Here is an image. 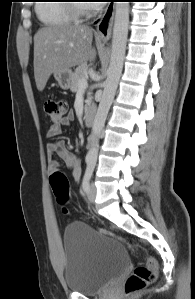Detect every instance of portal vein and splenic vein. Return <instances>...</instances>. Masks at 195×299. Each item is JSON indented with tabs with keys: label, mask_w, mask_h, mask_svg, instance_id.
Instances as JSON below:
<instances>
[{
	"label": "portal vein and splenic vein",
	"mask_w": 195,
	"mask_h": 299,
	"mask_svg": "<svg viewBox=\"0 0 195 299\" xmlns=\"http://www.w3.org/2000/svg\"><path fill=\"white\" fill-rule=\"evenodd\" d=\"M88 77L85 76L84 78H82L81 80H79V88L80 89H85L88 86V81H87Z\"/></svg>",
	"instance_id": "portal-vein-and-splenic-vein-1"
}]
</instances>
